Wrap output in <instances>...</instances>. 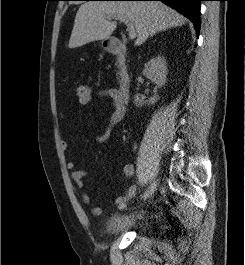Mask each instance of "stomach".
<instances>
[{
  "label": "stomach",
  "mask_w": 245,
  "mask_h": 265,
  "mask_svg": "<svg viewBox=\"0 0 245 265\" xmlns=\"http://www.w3.org/2000/svg\"><path fill=\"white\" fill-rule=\"evenodd\" d=\"M104 48H108V44H106L105 42L102 43Z\"/></svg>",
  "instance_id": "stomach-1"
}]
</instances>
